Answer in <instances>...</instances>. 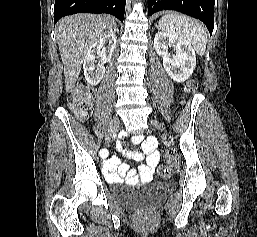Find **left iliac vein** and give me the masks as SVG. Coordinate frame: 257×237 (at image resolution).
Returning <instances> with one entry per match:
<instances>
[{"mask_svg":"<svg viewBox=\"0 0 257 237\" xmlns=\"http://www.w3.org/2000/svg\"><path fill=\"white\" fill-rule=\"evenodd\" d=\"M153 125H155L157 128L162 129L163 130V126L161 124H159L157 121H152Z\"/></svg>","mask_w":257,"mask_h":237,"instance_id":"left-iliac-vein-1","label":"left iliac vein"}]
</instances>
